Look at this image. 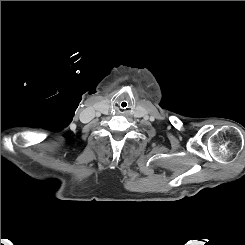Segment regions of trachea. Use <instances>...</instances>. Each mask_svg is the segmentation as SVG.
Wrapping results in <instances>:
<instances>
[{"instance_id":"obj_1","label":"trachea","mask_w":245,"mask_h":245,"mask_svg":"<svg viewBox=\"0 0 245 245\" xmlns=\"http://www.w3.org/2000/svg\"><path fill=\"white\" fill-rule=\"evenodd\" d=\"M129 107V102L127 100H122L120 103H119V108L121 110H126L128 109Z\"/></svg>"}]
</instances>
